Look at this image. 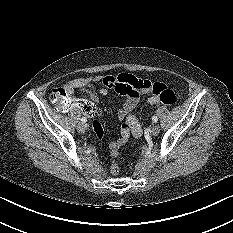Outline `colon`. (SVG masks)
Returning <instances> with one entry per match:
<instances>
[{
	"label": "colon",
	"instance_id": "1",
	"mask_svg": "<svg viewBox=\"0 0 233 233\" xmlns=\"http://www.w3.org/2000/svg\"><path fill=\"white\" fill-rule=\"evenodd\" d=\"M121 80V88L124 89H138L143 88L145 85L136 77H133L128 74L120 75ZM150 88L153 94L156 96L154 103L152 105H174L177 103V96L176 94L168 89L164 84L161 83H153L150 85ZM52 103L58 110H66L71 106L80 107L83 113L88 115H95L97 113V105L88 98H82L79 95H68L66 90L62 87L55 88L50 96ZM104 119L102 117H95L91 121V128H92V135L94 136L95 142L97 144H104L106 142V135H105V127H104ZM118 152H112V157H116ZM111 172L116 175L118 173V166L116 162L112 163Z\"/></svg>",
	"mask_w": 233,
	"mask_h": 233
}]
</instances>
